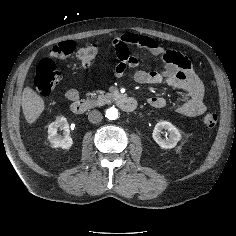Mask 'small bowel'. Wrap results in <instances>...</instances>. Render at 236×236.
Masks as SVG:
<instances>
[{
	"instance_id": "1",
	"label": "small bowel",
	"mask_w": 236,
	"mask_h": 236,
	"mask_svg": "<svg viewBox=\"0 0 236 236\" xmlns=\"http://www.w3.org/2000/svg\"><path fill=\"white\" fill-rule=\"evenodd\" d=\"M119 63L115 68V76H123L127 67H137L138 59L130 53L129 47L136 46L152 55L158 56L163 63V70H137L133 79L138 84H166L183 91L181 103L176 107L178 114L184 117H196L204 113L207 106L204 102V87L195 73L187 57L173 50L161 47L153 38L135 33H127L117 37L114 41ZM65 98L75 101L79 93L75 89L65 92ZM150 106L163 108L167 101L163 97L153 96L148 99Z\"/></svg>"
}]
</instances>
